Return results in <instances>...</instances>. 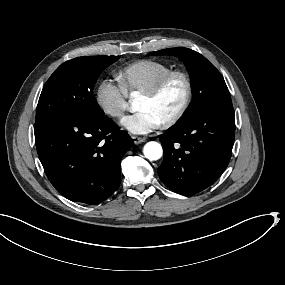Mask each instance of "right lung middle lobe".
Instances as JSON below:
<instances>
[{"label":"right lung middle lobe","mask_w":285,"mask_h":285,"mask_svg":"<svg viewBox=\"0 0 285 285\" xmlns=\"http://www.w3.org/2000/svg\"><path fill=\"white\" fill-rule=\"evenodd\" d=\"M115 61L101 56H85L61 64L43 87L36 121L58 113L85 118L103 117L92 92L101 72Z\"/></svg>","instance_id":"obj_1"}]
</instances>
